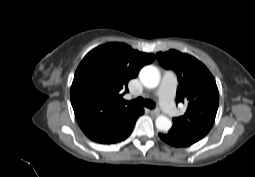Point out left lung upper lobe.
<instances>
[{"label":"left lung upper lobe","mask_w":255,"mask_h":177,"mask_svg":"<svg viewBox=\"0 0 255 177\" xmlns=\"http://www.w3.org/2000/svg\"><path fill=\"white\" fill-rule=\"evenodd\" d=\"M157 59L178 76L176 102L187 105L184 115L173 118L172 129L202 139L212 128L219 104V92L210 71L196 58L177 50L159 52Z\"/></svg>","instance_id":"obj_1"}]
</instances>
